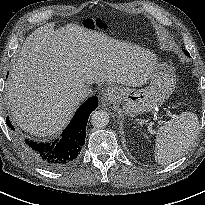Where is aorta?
I'll return each mask as SVG.
<instances>
[{"label": "aorta", "instance_id": "obj_1", "mask_svg": "<svg viewBox=\"0 0 205 205\" xmlns=\"http://www.w3.org/2000/svg\"><path fill=\"white\" fill-rule=\"evenodd\" d=\"M91 123L97 128H104L109 123V114L106 111H95L91 116Z\"/></svg>", "mask_w": 205, "mask_h": 205}]
</instances>
